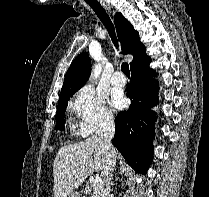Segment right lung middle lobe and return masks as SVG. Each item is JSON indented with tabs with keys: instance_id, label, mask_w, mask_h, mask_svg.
Segmentation results:
<instances>
[{
	"instance_id": "obj_1",
	"label": "right lung middle lobe",
	"mask_w": 209,
	"mask_h": 197,
	"mask_svg": "<svg viewBox=\"0 0 209 197\" xmlns=\"http://www.w3.org/2000/svg\"><path fill=\"white\" fill-rule=\"evenodd\" d=\"M79 89L80 88L71 90L68 93H66L63 97L59 98L58 106H57V112H56V128H55L56 130H58V129L62 130L63 129V127L61 125L64 124L63 118H64V114H65V111H66V107L68 105V100Z\"/></svg>"
}]
</instances>
